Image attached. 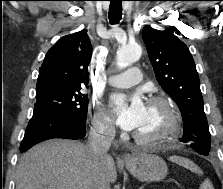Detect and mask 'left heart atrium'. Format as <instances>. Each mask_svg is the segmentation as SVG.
Listing matches in <instances>:
<instances>
[{"label":"left heart atrium","mask_w":223,"mask_h":189,"mask_svg":"<svg viewBox=\"0 0 223 189\" xmlns=\"http://www.w3.org/2000/svg\"><path fill=\"white\" fill-rule=\"evenodd\" d=\"M110 108L116 118V123L124 130H135L141 124L146 111V105L140 95H113Z\"/></svg>","instance_id":"obj_1"}]
</instances>
